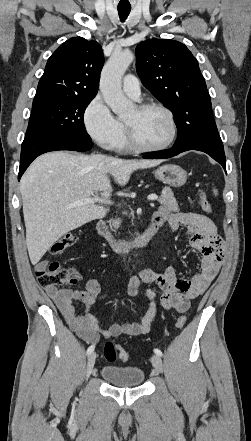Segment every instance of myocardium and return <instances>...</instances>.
<instances>
[{"instance_id": "f54148a6", "label": "myocardium", "mask_w": 251, "mask_h": 441, "mask_svg": "<svg viewBox=\"0 0 251 441\" xmlns=\"http://www.w3.org/2000/svg\"><path fill=\"white\" fill-rule=\"evenodd\" d=\"M136 108L138 109V111H145L148 109H159L163 111L167 115L170 121L171 134L168 140L164 144L159 146H148L143 144L138 139L133 128L127 122L124 121L126 137L130 146L141 152H159L168 149L174 143L178 133V126L173 112L167 106L158 102H142L137 104Z\"/></svg>"}]
</instances>
